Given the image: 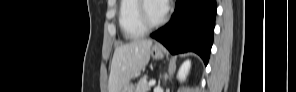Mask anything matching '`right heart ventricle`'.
<instances>
[{
    "label": "right heart ventricle",
    "instance_id": "obj_1",
    "mask_svg": "<svg viewBox=\"0 0 296 92\" xmlns=\"http://www.w3.org/2000/svg\"><path fill=\"white\" fill-rule=\"evenodd\" d=\"M138 3L137 0H123L120 2L118 22L123 35L127 39H135L146 33V30L137 19Z\"/></svg>",
    "mask_w": 296,
    "mask_h": 92
}]
</instances>
